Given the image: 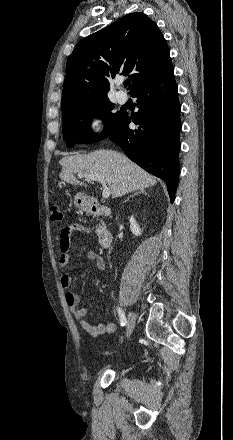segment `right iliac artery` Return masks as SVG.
Returning a JSON list of instances; mask_svg holds the SVG:
<instances>
[{
	"instance_id": "82829eb1",
	"label": "right iliac artery",
	"mask_w": 233,
	"mask_h": 440,
	"mask_svg": "<svg viewBox=\"0 0 233 440\" xmlns=\"http://www.w3.org/2000/svg\"><path fill=\"white\" fill-rule=\"evenodd\" d=\"M117 311H118V315H119V318H120V324H121V326H124L126 324V322H127L125 314H124V312H123V310L121 308H118Z\"/></svg>"
}]
</instances>
